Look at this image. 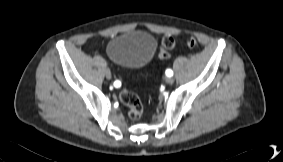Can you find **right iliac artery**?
<instances>
[{
  "mask_svg": "<svg viewBox=\"0 0 283 162\" xmlns=\"http://www.w3.org/2000/svg\"><path fill=\"white\" fill-rule=\"evenodd\" d=\"M114 85H115V86H119V88H122V87H123V84L120 83L119 81H115Z\"/></svg>",
  "mask_w": 283,
  "mask_h": 162,
  "instance_id": "obj_1",
  "label": "right iliac artery"
}]
</instances>
